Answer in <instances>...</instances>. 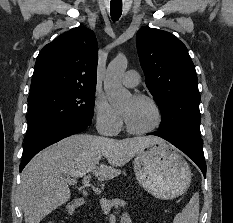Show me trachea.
I'll list each match as a JSON object with an SVG mask.
<instances>
[{
    "label": "trachea",
    "instance_id": "obj_1",
    "mask_svg": "<svg viewBox=\"0 0 233 223\" xmlns=\"http://www.w3.org/2000/svg\"><path fill=\"white\" fill-rule=\"evenodd\" d=\"M111 18L116 21L120 18L122 13V3H112L111 2Z\"/></svg>",
    "mask_w": 233,
    "mask_h": 223
}]
</instances>
